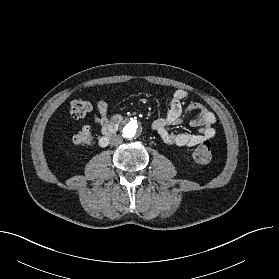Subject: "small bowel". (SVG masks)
<instances>
[{"mask_svg": "<svg viewBox=\"0 0 279 279\" xmlns=\"http://www.w3.org/2000/svg\"><path fill=\"white\" fill-rule=\"evenodd\" d=\"M187 97L188 92L186 90L177 89L167 100L165 114L152 123V129L168 145L194 147L213 139L216 135V129L214 128L216 117L214 113L197 102H192L187 107H184L183 102ZM194 110H198V114L191 119L190 123L192 126L200 128L198 133H174L170 131V127L179 124L186 113ZM113 118L109 119L108 117V104L104 100L98 101L93 121L99 126L102 134L106 132Z\"/></svg>", "mask_w": 279, "mask_h": 279, "instance_id": "obj_1", "label": "small bowel"}]
</instances>
